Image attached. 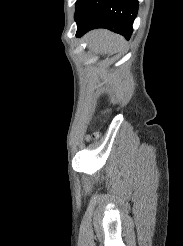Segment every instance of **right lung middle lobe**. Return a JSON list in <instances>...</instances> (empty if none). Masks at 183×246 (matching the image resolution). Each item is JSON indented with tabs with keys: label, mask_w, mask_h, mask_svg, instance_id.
I'll use <instances>...</instances> for the list:
<instances>
[{
	"label": "right lung middle lobe",
	"mask_w": 183,
	"mask_h": 246,
	"mask_svg": "<svg viewBox=\"0 0 183 246\" xmlns=\"http://www.w3.org/2000/svg\"><path fill=\"white\" fill-rule=\"evenodd\" d=\"M80 2H81V0H77V2H76V8H77V6L79 5Z\"/></svg>",
	"instance_id": "dd1d6c3e"
}]
</instances>
